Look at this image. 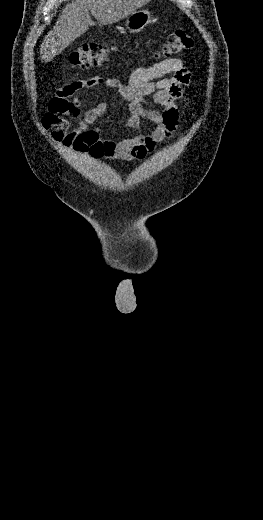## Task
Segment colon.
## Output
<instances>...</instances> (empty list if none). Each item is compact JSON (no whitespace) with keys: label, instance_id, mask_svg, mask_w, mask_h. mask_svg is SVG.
<instances>
[{"label":"colon","instance_id":"obj_1","mask_svg":"<svg viewBox=\"0 0 263 520\" xmlns=\"http://www.w3.org/2000/svg\"><path fill=\"white\" fill-rule=\"evenodd\" d=\"M192 45L191 35L184 29H178L168 36L161 54L165 57L178 55L190 49ZM111 49L112 46L107 43H87L74 50L69 55L68 62L72 67L88 69L106 61Z\"/></svg>","mask_w":263,"mask_h":520}]
</instances>
